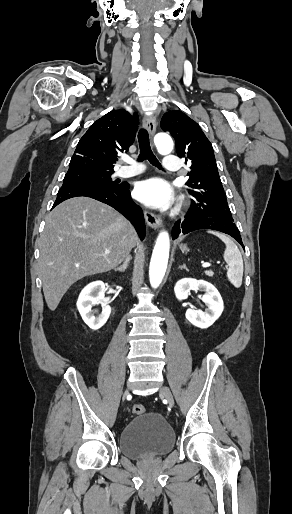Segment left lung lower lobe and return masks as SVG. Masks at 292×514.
<instances>
[{"label": "left lung lower lobe", "mask_w": 292, "mask_h": 514, "mask_svg": "<svg viewBox=\"0 0 292 514\" xmlns=\"http://www.w3.org/2000/svg\"><path fill=\"white\" fill-rule=\"evenodd\" d=\"M202 211L203 209L198 206V203L192 201L184 220L175 222L172 228V238H177L180 233L187 234L198 229H212L229 234L244 248L240 232L231 215L203 214Z\"/></svg>", "instance_id": "left-lung-lower-lobe-1"}]
</instances>
